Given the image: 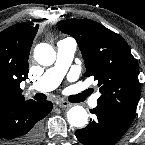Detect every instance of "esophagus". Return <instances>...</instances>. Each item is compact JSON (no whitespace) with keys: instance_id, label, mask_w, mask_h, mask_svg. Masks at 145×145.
<instances>
[{"instance_id":"34e87169","label":"esophagus","mask_w":145,"mask_h":145,"mask_svg":"<svg viewBox=\"0 0 145 145\" xmlns=\"http://www.w3.org/2000/svg\"><path fill=\"white\" fill-rule=\"evenodd\" d=\"M58 106L60 108H66V107H70L71 106V103H69L68 101H65V100H59L57 102Z\"/></svg>"}]
</instances>
